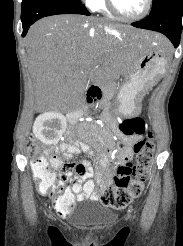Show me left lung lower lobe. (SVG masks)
<instances>
[{"label": "left lung lower lobe", "instance_id": "0a47b994", "mask_svg": "<svg viewBox=\"0 0 183 246\" xmlns=\"http://www.w3.org/2000/svg\"><path fill=\"white\" fill-rule=\"evenodd\" d=\"M183 0H167L149 16L131 25L160 32L167 36L177 48L182 32Z\"/></svg>", "mask_w": 183, "mask_h": 246}]
</instances>
